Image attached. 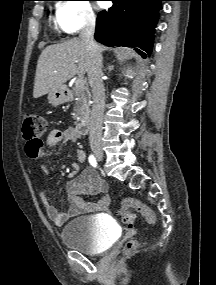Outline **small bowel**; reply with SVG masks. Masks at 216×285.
<instances>
[{"label": "small bowel", "mask_w": 216, "mask_h": 285, "mask_svg": "<svg viewBox=\"0 0 216 285\" xmlns=\"http://www.w3.org/2000/svg\"><path fill=\"white\" fill-rule=\"evenodd\" d=\"M80 138L81 133L75 127H67L63 130L54 129L47 136L46 145L48 147H54L58 144H75ZM44 154V152H41L37 157L43 156ZM75 159L78 162L85 161V151L81 148H77L75 150ZM43 171L49 173L50 168L47 165H44ZM105 191V183L98 177L93 169L86 168L79 175L67 182L66 197L69 202V206L66 212H60L51 202L45 191L40 193V199L49 219L55 225L61 226L69 219L78 215L99 212L107 209L110 204V197L108 195L103 196L97 202H88L83 198L85 195H95L104 193Z\"/></svg>", "instance_id": "1"}]
</instances>
